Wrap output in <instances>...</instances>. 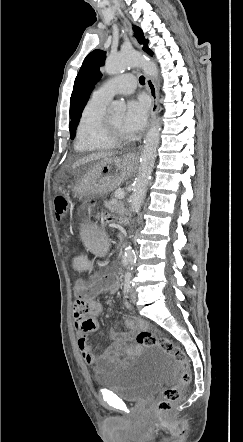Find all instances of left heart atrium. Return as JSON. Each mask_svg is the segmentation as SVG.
Instances as JSON below:
<instances>
[{
  "label": "left heart atrium",
  "instance_id": "obj_1",
  "mask_svg": "<svg viewBox=\"0 0 243 442\" xmlns=\"http://www.w3.org/2000/svg\"><path fill=\"white\" fill-rule=\"evenodd\" d=\"M149 103L145 97L130 100L123 119V127L128 133H136L145 126Z\"/></svg>",
  "mask_w": 243,
  "mask_h": 442
}]
</instances>
